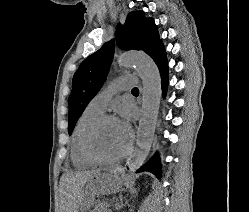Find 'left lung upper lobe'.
Segmentation results:
<instances>
[{"instance_id": "obj_1", "label": "left lung upper lobe", "mask_w": 249, "mask_h": 212, "mask_svg": "<svg viewBox=\"0 0 249 212\" xmlns=\"http://www.w3.org/2000/svg\"><path fill=\"white\" fill-rule=\"evenodd\" d=\"M116 41L124 50H142L154 58L164 49L159 39L154 19L145 17L143 11H132L124 25L118 24ZM114 41L105 43L86 58L75 72L72 92L68 99V132L71 135L82 112L106 81L114 56Z\"/></svg>"}]
</instances>
